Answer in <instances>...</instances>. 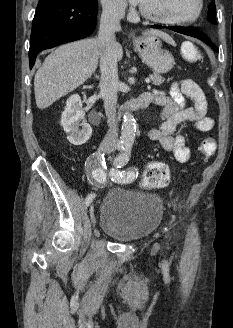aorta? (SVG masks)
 Segmentation results:
<instances>
[{
    "instance_id": "762f6f07",
    "label": "aorta",
    "mask_w": 233,
    "mask_h": 328,
    "mask_svg": "<svg viewBox=\"0 0 233 328\" xmlns=\"http://www.w3.org/2000/svg\"><path fill=\"white\" fill-rule=\"evenodd\" d=\"M136 135V120L132 113L125 112L123 115L120 146L128 150L132 147Z\"/></svg>"
}]
</instances>
